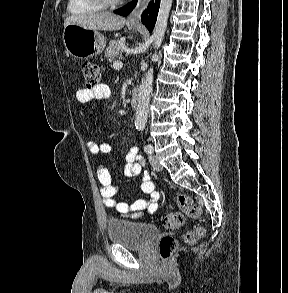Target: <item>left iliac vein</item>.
Masks as SVG:
<instances>
[{
    "instance_id": "4c4485c4",
    "label": "left iliac vein",
    "mask_w": 288,
    "mask_h": 293,
    "mask_svg": "<svg viewBox=\"0 0 288 293\" xmlns=\"http://www.w3.org/2000/svg\"><path fill=\"white\" fill-rule=\"evenodd\" d=\"M149 161L154 170L162 171L163 166L160 164L159 159L156 156L150 155Z\"/></svg>"
}]
</instances>
